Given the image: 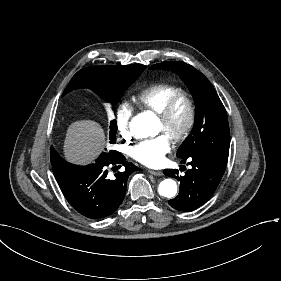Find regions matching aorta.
<instances>
[{
  "label": "aorta",
  "mask_w": 281,
  "mask_h": 281,
  "mask_svg": "<svg viewBox=\"0 0 281 281\" xmlns=\"http://www.w3.org/2000/svg\"><path fill=\"white\" fill-rule=\"evenodd\" d=\"M131 131L138 138L155 136L158 133V124L151 113H141L131 121ZM159 194L166 198H172L177 193V184L172 179H165L158 187Z\"/></svg>",
  "instance_id": "1"
}]
</instances>
